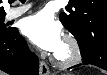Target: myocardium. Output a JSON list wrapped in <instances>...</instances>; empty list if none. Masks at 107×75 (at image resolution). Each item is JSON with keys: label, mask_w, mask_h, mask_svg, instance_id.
I'll return each mask as SVG.
<instances>
[{"label": "myocardium", "mask_w": 107, "mask_h": 75, "mask_svg": "<svg viewBox=\"0 0 107 75\" xmlns=\"http://www.w3.org/2000/svg\"><path fill=\"white\" fill-rule=\"evenodd\" d=\"M63 43L67 48V53L64 56L59 54L54 55V62L60 67H68L78 63L82 57V50L78 40L71 34H67Z\"/></svg>", "instance_id": "1"}]
</instances>
